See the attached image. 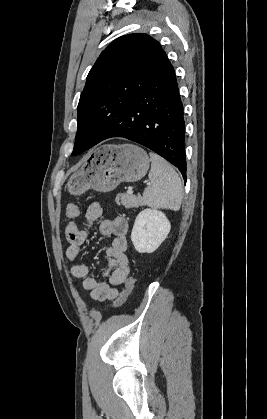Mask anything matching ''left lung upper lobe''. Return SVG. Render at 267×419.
Instances as JSON below:
<instances>
[{"mask_svg":"<svg viewBox=\"0 0 267 419\" xmlns=\"http://www.w3.org/2000/svg\"><path fill=\"white\" fill-rule=\"evenodd\" d=\"M166 59L160 43L147 34L124 35L110 43L90 70L81 93L72 155L91 147L101 125L122 115Z\"/></svg>","mask_w":267,"mask_h":419,"instance_id":"5c2ea615","label":"left lung upper lobe"}]
</instances>
